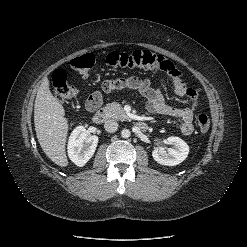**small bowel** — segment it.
<instances>
[{"label":"small bowel","instance_id":"c3829d8e","mask_svg":"<svg viewBox=\"0 0 247 247\" xmlns=\"http://www.w3.org/2000/svg\"><path fill=\"white\" fill-rule=\"evenodd\" d=\"M174 92L177 96L187 97L190 100L188 107H175L167 104L163 94L159 89L151 85L148 78L130 77L126 79L106 80L103 83V90L110 92L113 90L127 89L138 91L146 101V108L150 113L170 116L180 120V130L185 136L193 133V118L199 109V97L195 89L187 86L181 76H173ZM102 103V94L93 93L86 101V108L90 111L97 109Z\"/></svg>","mask_w":247,"mask_h":247}]
</instances>
